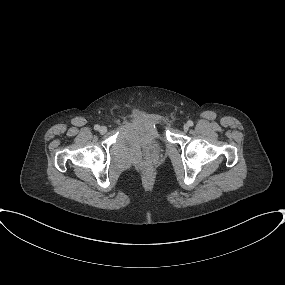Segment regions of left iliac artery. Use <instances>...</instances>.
Instances as JSON below:
<instances>
[{"label":"left iliac artery","instance_id":"44dca946","mask_svg":"<svg viewBox=\"0 0 285 285\" xmlns=\"http://www.w3.org/2000/svg\"><path fill=\"white\" fill-rule=\"evenodd\" d=\"M187 123L189 126H193V122L191 120H189Z\"/></svg>","mask_w":285,"mask_h":285}]
</instances>
